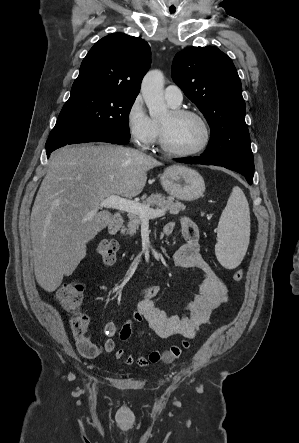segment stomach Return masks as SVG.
Returning a JSON list of instances; mask_svg holds the SVG:
<instances>
[{
  "instance_id": "0dacf381",
  "label": "stomach",
  "mask_w": 299,
  "mask_h": 443,
  "mask_svg": "<svg viewBox=\"0 0 299 443\" xmlns=\"http://www.w3.org/2000/svg\"><path fill=\"white\" fill-rule=\"evenodd\" d=\"M164 190L173 198L182 201H193L200 198L205 191L202 176L194 169L173 165L165 169L160 177Z\"/></svg>"
}]
</instances>
